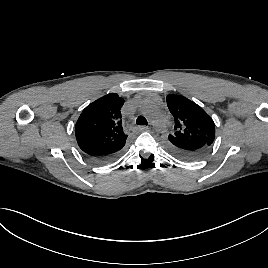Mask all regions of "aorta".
I'll return each mask as SVG.
<instances>
[{"mask_svg":"<svg viewBox=\"0 0 268 268\" xmlns=\"http://www.w3.org/2000/svg\"><path fill=\"white\" fill-rule=\"evenodd\" d=\"M138 107L139 111L146 115L157 129L164 130L166 128V119L164 115L158 108L156 102L150 97H141L138 101Z\"/></svg>","mask_w":268,"mask_h":268,"instance_id":"762f6f07","label":"aorta"}]
</instances>
